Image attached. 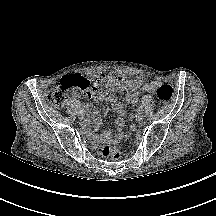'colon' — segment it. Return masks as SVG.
I'll return each instance as SVG.
<instances>
[{"label": "colon", "mask_w": 216, "mask_h": 216, "mask_svg": "<svg viewBox=\"0 0 216 216\" xmlns=\"http://www.w3.org/2000/svg\"><path fill=\"white\" fill-rule=\"evenodd\" d=\"M100 83V78H96L95 85ZM93 87L90 81L81 75H67L57 87L46 94V99L54 107L62 108L69 98L81 92H89ZM155 93L162 102H169L173 98V88L168 84H157ZM98 151L102 156L116 161L122 158L121 151L112 145H102Z\"/></svg>", "instance_id": "1"}]
</instances>
